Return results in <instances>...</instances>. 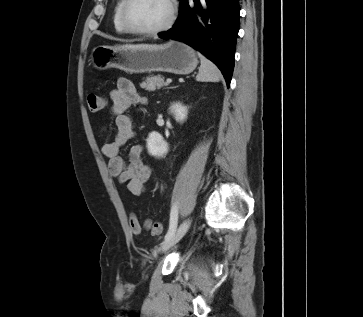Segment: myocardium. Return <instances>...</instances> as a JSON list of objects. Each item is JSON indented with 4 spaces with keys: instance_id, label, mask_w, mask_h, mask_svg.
Masks as SVG:
<instances>
[{
    "instance_id": "1",
    "label": "myocardium",
    "mask_w": 363,
    "mask_h": 317,
    "mask_svg": "<svg viewBox=\"0 0 363 317\" xmlns=\"http://www.w3.org/2000/svg\"><path fill=\"white\" fill-rule=\"evenodd\" d=\"M133 2L134 0H124L121 8V22L127 32L139 36H156L166 32L174 24L178 10L176 0H167L170 9L167 20L158 28L150 30L138 29L131 24L129 20V9Z\"/></svg>"
}]
</instances>
